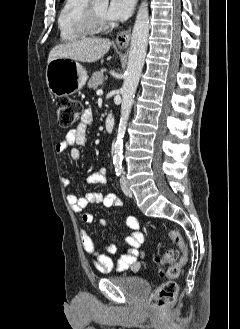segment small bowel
Masks as SVG:
<instances>
[{
    "label": "small bowel",
    "mask_w": 240,
    "mask_h": 329,
    "mask_svg": "<svg viewBox=\"0 0 240 329\" xmlns=\"http://www.w3.org/2000/svg\"><path fill=\"white\" fill-rule=\"evenodd\" d=\"M93 120V112L90 108L83 110L79 124L69 130L65 136V139L55 146V152L58 155L63 154L69 150L70 158L72 160H79L81 158V152L78 146L86 144L87 129ZM64 186H68L70 181L67 177L62 178ZM88 185H105L107 184V172L105 168L99 169L86 179ZM67 200L73 209L77 213H81V220L84 223H91L93 221L92 213L84 211L88 204L102 203L106 207H121L123 201L115 194L104 195L101 192L92 191L86 193L84 196H78L76 194H69ZM99 223L106 226L105 220L101 219ZM125 223L130 230V235L126 238V252L115 262L106 254L97 250V245L89 235V233L82 229L80 231V241L83 250L89 257V261L92 265L102 273H108L113 269L121 272L130 270L133 272L139 271L144 260V254L140 252L139 248L144 242V235L140 230L139 221L134 216H127ZM104 251L108 254H114L117 248L114 244H108L104 246Z\"/></svg>",
    "instance_id": "c3829d8e"
}]
</instances>
